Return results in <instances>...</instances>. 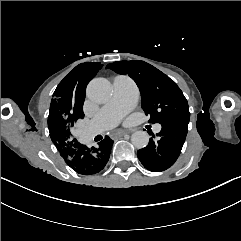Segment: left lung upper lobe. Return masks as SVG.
Returning a JSON list of instances; mask_svg holds the SVG:
<instances>
[{"mask_svg": "<svg viewBox=\"0 0 241 241\" xmlns=\"http://www.w3.org/2000/svg\"><path fill=\"white\" fill-rule=\"evenodd\" d=\"M119 74L129 75L141 93V106L149 122L189 121L187 100L177 84L154 66L139 60L118 61L107 65Z\"/></svg>", "mask_w": 241, "mask_h": 241, "instance_id": "obj_1", "label": "left lung upper lobe"}]
</instances>
